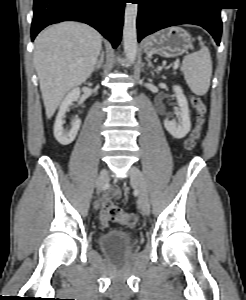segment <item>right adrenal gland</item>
Masks as SVG:
<instances>
[{"label":"right adrenal gland","instance_id":"right-adrenal-gland-1","mask_svg":"<svg viewBox=\"0 0 246 300\" xmlns=\"http://www.w3.org/2000/svg\"><path fill=\"white\" fill-rule=\"evenodd\" d=\"M103 62H104V51H101V53H100V58H99V60L96 62L95 66H94V68H93V72L98 71V70L102 67Z\"/></svg>","mask_w":246,"mask_h":300}]
</instances>
